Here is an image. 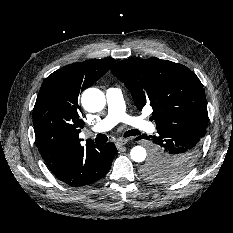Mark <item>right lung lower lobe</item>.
Listing matches in <instances>:
<instances>
[{
	"instance_id": "98d812e1",
	"label": "right lung lower lobe",
	"mask_w": 233,
	"mask_h": 233,
	"mask_svg": "<svg viewBox=\"0 0 233 233\" xmlns=\"http://www.w3.org/2000/svg\"><path fill=\"white\" fill-rule=\"evenodd\" d=\"M116 152L112 142L93 144L79 151L52 173L72 187L89 185L108 172Z\"/></svg>"
}]
</instances>
